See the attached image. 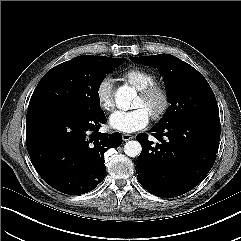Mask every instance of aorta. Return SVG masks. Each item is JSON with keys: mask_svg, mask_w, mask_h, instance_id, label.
<instances>
[{"mask_svg": "<svg viewBox=\"0 0 241 241\" xmlns=\"http://www.w3.org/2000/svg\"><path fill=\"white\" fill-rule=\"evenodd\" d=\"M136 92L133 88L127 85L119 87L115 93V102L118 108L129 110L131 102L135 98ZM142 151L141 144L136 140L126 142L124 152L129 157H137Z\"/></svg>", "mask_w": 241, "mask_h": 241, "instance_id": "762f6f07", "label": "aorta"}]
</instances>
